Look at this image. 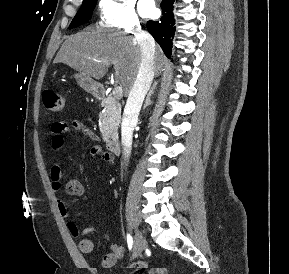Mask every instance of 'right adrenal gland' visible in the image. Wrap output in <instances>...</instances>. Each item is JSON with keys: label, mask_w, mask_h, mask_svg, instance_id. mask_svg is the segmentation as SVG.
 Segmentation results:
<instances>
[{"label": "right adrenal gland", "mask_w": 289, "mask_h": 274, "mask_svg": "<svg viewBox=\"0 0 289 274\" xmlns=\"http://www.w3.org/2000/svg\"><path fill=\"white\" fill-rule=\"evenodd\" d=\"M158 85V82H154L153 86L151 87L147 97H146V100H145V103H144V106H143V109H146L147 106L151 105L153 102L151 101V95L154 93V90L156 89Z\"/></svg>", "instance_id": "2a0ac1e0"}]
</instances>
